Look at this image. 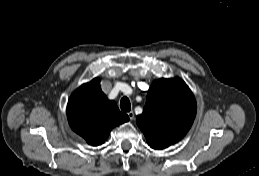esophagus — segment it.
Segmentation results:
<instances>
[{
    "label": "esophagus",
    "instance_id": "34e87169",
    "mask_svg": "<svg viewBox=\"0 0 259 176\" xmlns=\"http://www.w3.org/2000/svg\"><path fill=\"white\" fill-rule=\"evenodd\" d=\"M128 116H129L130 120H133L134 117H135L134 112L133 111H129L128 112Z\"/></svg>",
    "mask_w": 259,
    "mask_h": 176
}]
</instances>
